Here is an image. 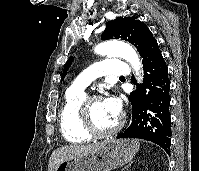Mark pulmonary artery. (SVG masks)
I'll list each match as a JSON object with an SVG mask.
<instances>
[{
	"instance_id": "pulmonary-artery-1",
	"label": "pulmonary artery",
	"mask_w": 199,
	"mask_h": 171,
	"mask_svg": "<svg viewBox=\"0 0 199 171\" xmlns=\"http://www.w3.org/2000/svg\"><path fill=\"white\" fill-rule=\"evenodd\" d=\"M130 72L129 65L116 59H106L96 62L84 70L70 87L75 90L84 91L95 77L99 76H125Z\"/></svg>"
}]
</instances>
